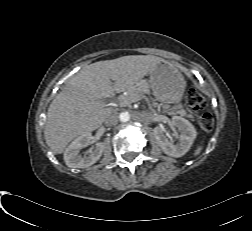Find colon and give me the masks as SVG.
Returning a JSON list of instances; mask_svg holds the SVG:
<instances>
[{"label":"colon","instance_id":"colon-1","mask_svg":"<svg viewBox=\"0 0 252 231\" xmlns=\"http://www.w3.org/2000/svg\"><path fill=\"white\" fill-rule=\"evenodd\" d=\"M186 102L192 111H203L199 116V126L204 132H211L213 130L214 122L212 115L205 111L206 100L196 90L190 89L186 95Z\"/></svg>","mask_w":252,"mask_h":231}]
</instances>
